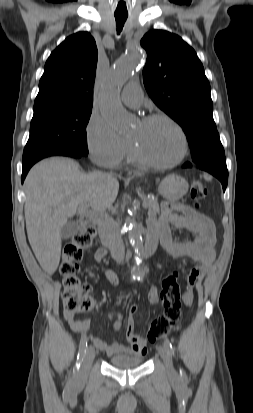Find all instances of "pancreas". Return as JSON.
I'll list each match as a JSON object with an SVG mask.
<instances>
[{
	"mask_svg": "<svg viewBox=\"0 0 253 413\" xmlns=\"http://www.w3.org/2000/svg\"><path fill=\"white\" fill-rule=\"evenodd\" d=\"M142 200L148 204V212L152 216H157L160 213L158 200L156 198H150L147 196H142Z\"/></svg>",
	"mask_w": 253,
	"mask_h": 413,
	"instance_id": "1",
	"label": "pancreas"
}]
</instances>
